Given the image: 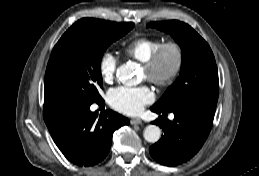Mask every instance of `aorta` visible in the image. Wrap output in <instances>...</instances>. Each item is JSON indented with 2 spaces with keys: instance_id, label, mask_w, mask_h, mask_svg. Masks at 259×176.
Here are the masks:
<instances>
[{
  "instance_id": "obj_1",
  "label": "aorta",
  "mask_w": 259,
  "mask_h": 176,
  "mask_svg": "<svg viewBox=\"0 0 259 176\" xmlns=\"http://www.w3.org/2000/svg\"><path fill=\"white\" fill-rule=\"evenodd\" d=\"M117 77L126 86H134L139 83L137 65L133 62L121 65L117 70ZM144 139L150 143H156L161 138V129L156 125H148L144 129Z\"/></svg>"
}]
</instances>
